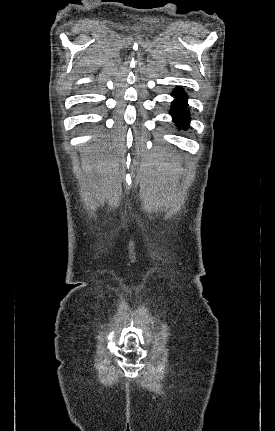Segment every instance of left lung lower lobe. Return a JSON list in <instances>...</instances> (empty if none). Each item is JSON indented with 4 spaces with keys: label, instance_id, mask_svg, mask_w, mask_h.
<instances>
[{
    "label": "left lung lower lobe",
    "instance_id": "1",
    "mask_svg": "<svg viewBox=\"0 0 275 431\" xmlns=\"http://www.w3.org/2000/svg\"><path fill=\"white\" fill-rule=\"evenodd\" d=\"M172 96L175 97V101H173L170 110L173 122H175L180 129L186 130L191 121L189 111L187 110V95L182 88L177 87L173 91Z\"/></svg>",
    "mask_w": 275,
    "mask_h": 431
}]
</instances>
